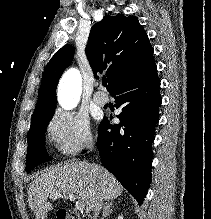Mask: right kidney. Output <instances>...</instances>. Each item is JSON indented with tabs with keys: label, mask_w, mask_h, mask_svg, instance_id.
Segmentation results:
<instances>
[{
	"label": "right kidney",
	"mask_w": 211,
	"mask_h": 219,
	"mask_svg": "<svg viewBox=\"0 0 211 219\" xmlns=\"http://www.w3.org/2000/svg\"><path fill=\"white\" fill-rule=\"evenodd\" d=\"M118 219H123V216H122V215H121V216H119V217H118Z\"/></svg>",
	"instance_id": "right-kidney-1"
}]
</instances>
